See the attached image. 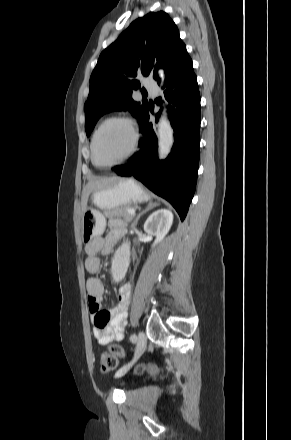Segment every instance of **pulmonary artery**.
I'll use <instances>...</instances> for the list:
<instances>
[{"instance_id": "e3ab8cb5", "label": "pulmonary artery", "mask_w": 291, "mask_h": 440, "mask_svg": "<svg viewBox=\"0 0 291 440\" xmlns=\"http://www.w3.org/2000/svg\"><path fill=\"white\" fill-rule=\"evenodd\" d=\"M144 84L152 95L158 94L159 91L157 85L154 82L150 81L148 77H146Z\"/></svg>"}]
</instances>
